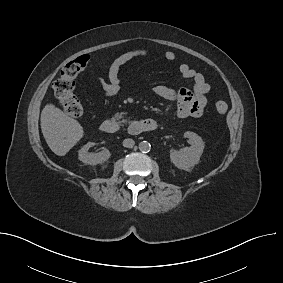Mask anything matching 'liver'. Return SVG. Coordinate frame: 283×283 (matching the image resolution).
Masks as SVG:
<instances>
[{"instance_id":"6515ba94","label":"liver","mask_w":283,"mask_h":283,"mask_svg":"<svg viewBox=\"0 0 283 283\" xmlns=\"http://www.w3.org/2000/svg\"><path fill=\"white\" fill-rule=\"evenodd\" d=\"M41 129L49 148L58 156L66 155L84 135L77 120L51 103L41 112Z\"/></svg>"}]
</instances>
